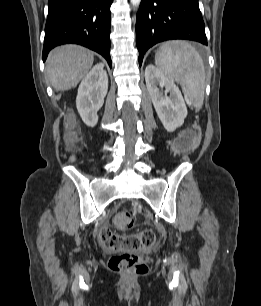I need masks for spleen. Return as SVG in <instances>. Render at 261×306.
Instances as JSON below:
<instances>
[{
  "label": "spleen",
  "mask_w": 261,
  "mask_h": 306,
  "mask_svg": "<svg viewBox=\"0 0 261 306\" xmlns=\"http://www.w3.org/2000/svg\"><path fill=\"white\" fill-rule=\"evenodd\" d=\"M157 68L182 87L185 100L201 108L205 92V68L197 50L185 41H169L156 52Z\"/></svg>",
  "instance_id": "spleen-1"
}]
</instances>
